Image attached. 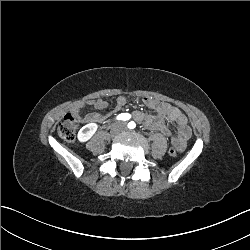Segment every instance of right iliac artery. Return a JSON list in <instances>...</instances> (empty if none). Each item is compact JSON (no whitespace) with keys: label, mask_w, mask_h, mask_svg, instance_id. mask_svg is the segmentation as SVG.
Returning a JSON list of instances; mask_svg holds the SVG:
<instances>
[{"label":"right iliac artery","mask_w":250,"mask_h":250,"mask_svg":"<svg viewBox=\"0 0 250 250\" xmlns=\"http://www.w3.org/2000/svg\"><path fill=\"white\" fill-rule=\"evenodd\" d=\"M130 118H131V115L128 114V113H121V114H119L117 116V120H124V121H126V120H128Z\"/></svg>","instance_id":"obj_1"}]
</instances>
